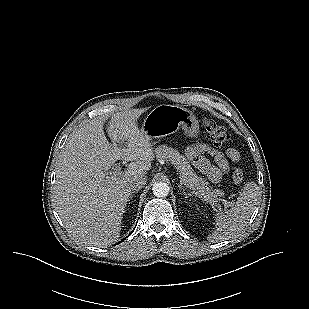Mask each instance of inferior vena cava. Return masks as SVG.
<instances>
[{
    "label": "inferior vena cava",
    "mask_w": 309,
    "mask_h": 309,
    "mask_svg": "<svg viewBox=\"0 0 309 309\" xmlns=\"http://www.w3.org/2000/svg\"><path fill=\"white\" fill-rule=\"evenodd\" d=\"M147 178L144 174H137L128 179L127 186L131 190H139L146 185Z\"/></svg>",
    "instance_id": "1"
}]
</instances>
